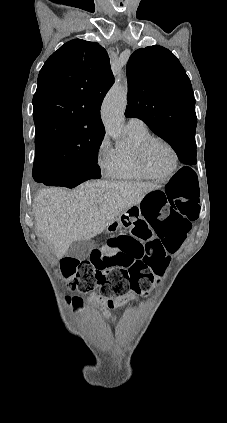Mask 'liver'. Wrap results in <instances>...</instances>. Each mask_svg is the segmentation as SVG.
<instances>
[{
	"instance_id": "obj_1",
	"label": "liver",
	"mask_w": 227,
	"mask_h": 423,
	"mask_svg": "<svg viewBox=\"0 0 227 423\" xmlns=\"http://www.w3.org/2000/svg\"><path fill=\"white\" fill-rule=\"evenodd\" d=\"M159 188V182L104 180L85 182L70 192L45 188L36 196V233L45 235L53 243L57 257H63L73 241L102 233L122 211L141 204L146 194Z\"/></svg>"
}]
</instances>
